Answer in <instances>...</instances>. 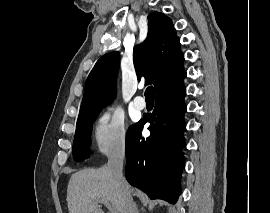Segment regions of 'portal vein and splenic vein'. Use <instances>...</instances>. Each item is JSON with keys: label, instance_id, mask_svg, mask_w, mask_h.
<instances>
[{"label": "portal vein and splenic vein", "instance_id": "portal-vein-and-splenic-vein-1", "mask_svg": "<svg viewBox=\"0 0 270 213\" xmlns=\"http://www.w3.org/2000/svg\"><path fill=\"white\" fill-rule=\"evenodd\" d=\"M102 204H104L105 206H107L109 209H110V213H116V212H114L111 208H110V206H109V203L107 202V201H105V200H101L100 201Z\"/></svg>", "mask_w": 270, "mask_h": 213}]
</instances>
